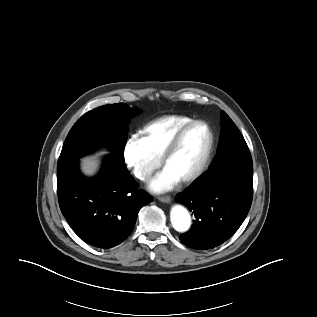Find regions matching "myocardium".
<instances>
[{
    "instance_id": "obj_1",
    "label": "myocardium",
    "mask_w": 317,
    "mask_h": 317,
    "mask_svg": "<svg viewBox=\"0 0 317 317\" xmlns=\"http://www.w3.org/2000/svg\"><path fill=\"white\" fill-rule=\"evenodd\" d=\"M196 125H203L207 129L209 141H208L206 151L200 163L196 167V169L191 174H189L188 176L180 180L183 184H190L196 181L205 172V170L207 169L209 165V162L214 150V144H215V137H214V133L211 126L204 120H200V119L191 120L190 122L185 124L182 128H180L179 131L175 134L174 138L172 139L171 143L169 144L162 158L163 164L167 166L169 160L175 155V153L179 149L181 142L184 136L186 135V133L192 127Z\"/></svg>"
}]
</instances>
